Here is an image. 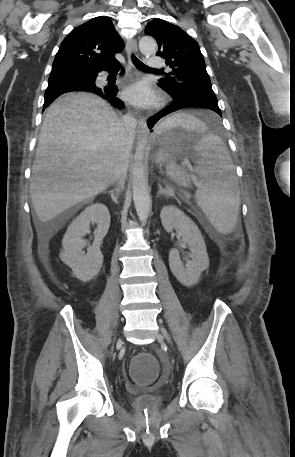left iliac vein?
Returning <instances> with one entry per match:
<instances>
[{"label":"left iliac vein","instance_id":"left-iliac-vein-1","mask_svg":"<svg viewBox=\"0 0 295 457\" xmlns=\"http://www.w3.org/2000/svg\"><path fill=\"white\" fill-rule=\"evenodd\" d=\"M160 330H161V333L163 335V337L168 341V342H171V339H170V336L168 334V332L166 331V329L160 325Z\"/></svg>","mask_w":295,"mask_h":457}]
</instances>
